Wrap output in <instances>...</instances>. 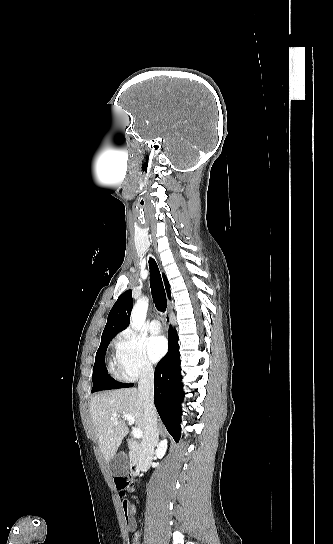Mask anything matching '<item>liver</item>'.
Returning a JSON list of instances; mask_svg holds the SVG:
<instances>
[{"label": "liver", "mask_w": 333, "mask_h": 544, "mask_svg": "<svg viewBox=\"0 0 333 544\" xmlns=\"http://www.w3.org/2000/svg\"><path fill=\"white\" fill-rule=\"evenodd\" d=\"M92 427L106 463H109L128 434L129 422L122 414L135 418L136 428L145 431L143 398L136 388L111 390L94 396L90 402ZM113 414L120 416L111 420Z\"/></svg>", "instance_id": "liver-1"}]
</instances>
